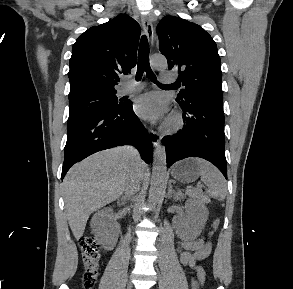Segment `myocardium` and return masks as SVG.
Segmentation results:
<instances>
[{"label": "myocardium", "instance_id": "obj_1", "mask_svg": "<svg viewBox=\"0 0 293 289\" xmlns=\"http://www.w3.org/2000/svg\"><path fill=\"white\" fill-rule=\"evenodd\" d=\"M183 127V118L180 114H173L165 123L164 130L167 133H176Z\"/></svg>", "mask_w": 293, "mask_h": 289}]
</instances>
